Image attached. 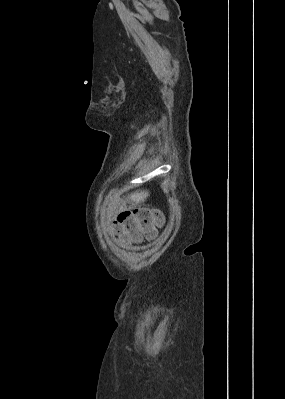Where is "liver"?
<instances>
[{"instance_id":"6515ba94","label":"liver","mask_w":285,"mask_h":399,"mask_svg":"<svg viewBox=\"0 0 285 399\" xmlns=\"http://www.w3.org/2000/svg\"><path fill=\"white\" fill-rule=\"evenodd\" d=\"M149 197V192L146 190L137 191L130 195V199L132 202L136 204L144 203L145 200Z\"/></svg>"}]
</instances>
